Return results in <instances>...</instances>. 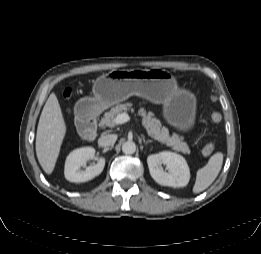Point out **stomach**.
<instances>
[{
    "label": "stomach",
    "mask_w": 261,
    "mask_h": 254,
    "mask_svg": "<svg viewBox=\"0 0 261 254\" xmlns=\"http://www.w3.org/2000/svg\"><path fill=\"white\" fill-rule=\"evenodd\" d=\"M93 94L94 97L82 100L90 114L136 95L163 104L164 118L179 130L187 131L195 124V96L179 89L173 75L166 70H111L97 78Z\"/></svg>",
    "instance_id": "obj_1"
}]
</instances>
